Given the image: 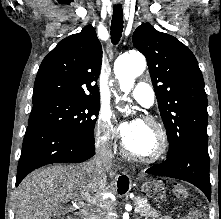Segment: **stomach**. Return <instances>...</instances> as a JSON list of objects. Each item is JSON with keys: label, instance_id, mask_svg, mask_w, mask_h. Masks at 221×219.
Instances as JSON below:
<instances>
[{"label": "stomach", "instance_id": "stomach-1", "mask_svg": "<svg viewBox=\"0 0 221 219\" xmlns=\"http://www.w3.org/2000/svg\"><path fill=\"white\" fill-rule=\"evenodd\" d=\"M174 178H147L143 185L146 195L152 199H173V194H165L166 183H174Z\"/></svg>", "mask_w": 221, "mask_h": 219}]
</instances>
